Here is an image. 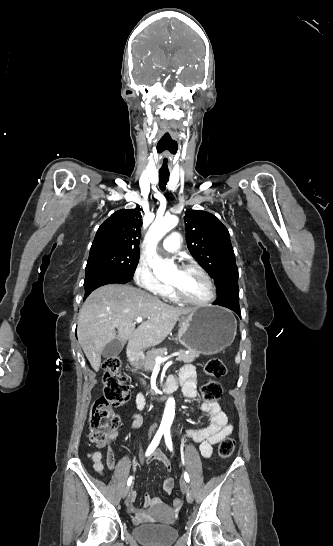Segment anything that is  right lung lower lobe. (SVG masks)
<instances>
[{"label": "right lung lower lobe", "instance_id": "obj_1", "mask_svg": "<svg viewBox=\"0 0 333 546\" xmlns=\"http://www.w3.org/2000/svg\"><path fill=\"white\" fill-rule=\"evenodd\" d=\"M133 278L126 276L124 274H120L117 272L104 270V269H91L87 270L85 273V281H84V288H85V295L84 300L88 297V295L95 290L96 288L106 285V284H113V283H120L125 284L127 282H130Z\"/></svg>", "mask_w": 333, "mask_h": 546}]
</instances>
